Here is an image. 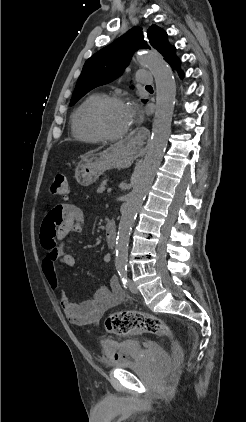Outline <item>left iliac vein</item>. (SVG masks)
<instances>
[{
  "mask_svg": "<svg viewBox=\"0 0 246 422\" xmlns=\"http://www.w3.org/2000/svg\"><path fill=\"white\" fill-rule=\"evenodd\" d=\"M128 285H129V290H130L132 293H134V294L138 293L137 286L135 285V283H134L132 280H129V281H128Z\"/></svg>",
  "mask_w": 246,
  "mask_h": 422,
  "instance_id": "left-iliac-vein-1",
  "label": "left iliac vein"
}]
</instances>
